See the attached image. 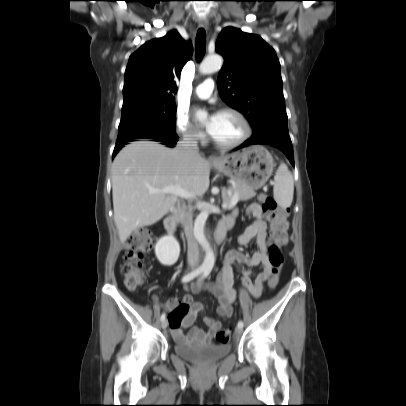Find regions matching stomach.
I'll list each match as a JSON object with an SVG mask.
<instances>
[{
	"label": "stomach",
	"instance_id": "0dacf381",
	"mask_svg": "<svg viewBox=\"0 0 406 406\" xmlns=\"http://www.w3.org/2000/svg\"><path fill=\"white\" fill-rule=\"evenodd\" d=\"M220 173L248 189H260L273 172L274 160L263 146L254 145L220 159L213 164Z\"/></svg>",
	"mask_w": 406,
	"mask_h": 406
}]
</instances>
